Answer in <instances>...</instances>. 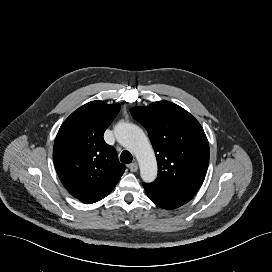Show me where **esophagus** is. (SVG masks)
Segmentation results:
<instances>
[{
  "mask_svg": "<svg viewBox=\"0 0 272 272\" xmlns=\"http://www.w3.org/2000/svg\"><path fill=\"white\" fill-rule=\"evenodd\" d=\"M128 168L130 169V171L136 172L138 170V165L136 162H134V163L129 164Z\"/></svg>",
  "mask_w": 272,
  "mask_h": 272,
  "instance_id": "obj_1",
  "label": "esophagus"
}]
</instances>
